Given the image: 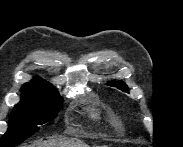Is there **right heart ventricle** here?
Instances as JSON below:
<instances>
[{"label": "right heart ventricle", "mask_w": 183, "mask_h": 147, "mask_svg": "<svg viewBox=\"0 0 183 147\" xmlns=\"http://www.w3.org/2000/svg\"><path fill=\"white\" fill-rule=\"evenodd\" d=\"M93 116H94L95 118H97V117H98V114H97L96 112H94V113H93Z\"/></svg>", "instance_id": "right-heart-ventricle-1"}]
</instances>
